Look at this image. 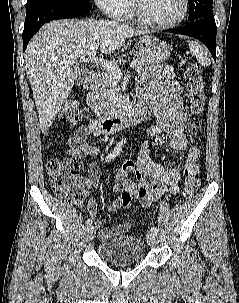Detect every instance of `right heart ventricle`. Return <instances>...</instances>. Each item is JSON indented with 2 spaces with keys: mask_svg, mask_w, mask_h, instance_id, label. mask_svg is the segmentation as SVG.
Segmentation results:
<instances>
[{
  "mask_svg": "<svg viewBox=\"0 0 239 303\" xmlns=\"http://www.w3.org/2000/svg\"><path fill=\"white\" fill-rule=\"evenodd\" d=\"M133 18V14H132V10H131V4L129 3L128 9L126 11V13L120 17L119 19L121 20H127V19H132Z\"/></svg>",
  "mask_w": 239,
  "mask_h": 303,
  "instance_id": "e07e8e85",
  "label": "right heart ventricle"
}]
</instances>
